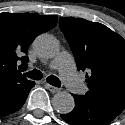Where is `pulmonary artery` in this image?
<instances>
[{
  "mask_svg": "<svg viewBox=\"0 0 125 125\" xmlns=\"http://www.w3.org/2000/svg\"><path fill=\"white\" fill-rule=\"evenodd\" d=\"M51 68L58 69L69 89L80 92L84 86L74 70V62L70 53L61 52L51 63Z\"/></svg>",
  "mask_w": 125,
  "mask_h": 125,
  "instance_id": "pulmonary-artery-1",
  "label": "pulmonary artery"
}]
</instances>
